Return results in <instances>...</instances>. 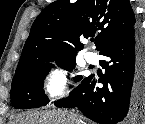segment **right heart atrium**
<instances>
[{"instance_id": "obj_1", "label": "right heart atrium", "mask_w": 145, "mask_h": 124, "mask_svg": "<svg viewBox=\"0 0 145 124\" xmlns=\"http://www.w3.org/2000/svg\"><path fill=\"white\" fill-rule=\"evenodd\" d=\"M70 77L68 73L59 66H51L44 81L45 94L51 99H57L68 92Z\"/></svg>"}]
</instances>
